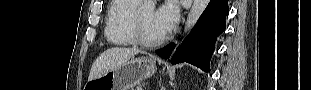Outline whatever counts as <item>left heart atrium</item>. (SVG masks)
I'll return each instance as SVG.
<instances>
[{
    "mask_svg": "<svg viewBox=\"0 0 311 90\" xmlns=\"http://www.w3.org/2000/svg\"><path fill=\"white\" fill-rule=\"evenodd\" d=\"M178 20V8L174 1H168L159 7L154 14V22L157 27L166 34Z\"/></svg>",
    "mask_w": 311,
    "mask_h": 90,
    "instance_id": "39dd6f15",
    "label": "left heart atrium"
}]
</instances>
